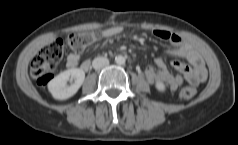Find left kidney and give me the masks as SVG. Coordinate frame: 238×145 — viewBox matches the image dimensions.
I'll use <instances>...</instances> for the list:
<instances>
[{"mask_svg": "<svg viewBox=\"0 0 238 145\" xmlns=\"http://www.w3.org/2000/svg\"><path fill=\"white\" fill-rule=\"evenodd\" d=\"M156 88H157L159 91H165V85H164L162 82H157V83H156Z\"/></svg>", "mask_w": 238, "mask_h": 145, "instance_id": "5707ae66", "label": "left kidney"}]
</instances>
